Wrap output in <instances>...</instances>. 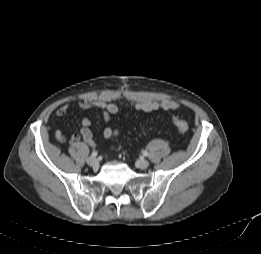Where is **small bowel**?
Segmentation results:
<instances>
[{"instance_id": "1", "label": "small bowel", "mask_w": 261, "mask_h": 254, "mask_svg": "<svg viewBox=\"0 0 261 254\" xmlns=\"http://www.w3.org/2000/svg\"><path fill=\"white\" fill-rule=\"evenodd\" d=\"M77 107L81 110H88L90 108L96 107L100 109L103 113L105 122H109L112 116L116 115L119 111L118 106L112 102H106L103 100H93V99H82L78 102ZM181 107L180 103L171 99H162L157 101L144 100L136 102L132 105L135 111L139 112H153L158 110L170 111L177 110ZM69 110L68 104H62L56 109L55 114L58 117H64ZM91 120L89 117H83L81 120V128L79 134H73L66 138L61 130L56 132V136L60 140H65L70 143H76L80 139L87 145L95 147L96 143L93 138V134L90 130ZM122 133L121 129L113 128L111 126H106L103 130V136L107 140L117 138Z\"/></svg>"}]
</instances>
